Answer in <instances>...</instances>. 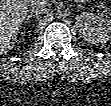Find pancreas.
Masks as SVG:
<instances>
[{
    "instance_id": "pancreas-1",
    "label": "pancreas",
    "mask_w": 111,
    "mask_h": 106,
    "mask_svg": "<svg viewBox=\"0 0 111 106\" xmlns=\"http://www.w3.org/2000/svg\"><path fill=\"white\" fill-rule=\"evenodd\" d=\"M96 7L99 8V9L105 8V6H104L102 1L96 2Z\"/></svg>"
}]
</instances>
